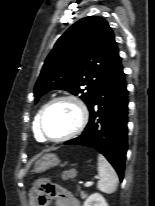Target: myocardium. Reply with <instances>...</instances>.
Masks as SVG:
<instances>
[{"instance_id":"myocardium-1","label":"myocardium","mask_w":155,"mask_h":206,"mask_svg":"<svg viewBox=\"0 0 155 206\" xmlns=\"http://www.w3.org/2000/svg\"><path fill=\"white\" fill-rule=\"evenodd\" d=\"M60 102H70L76 107L79 116L78 124L72 131H70L66 135L58 138H52L45 134L43 130V121L49 109L53 107L55 104ZM88 120H89V112L85 102L76 95L64 94L53 98L43 107L38 119V132L43 140L50 141V142H64L81 134L82 131L85 129Z\"/></svg>"}]
</instances>
